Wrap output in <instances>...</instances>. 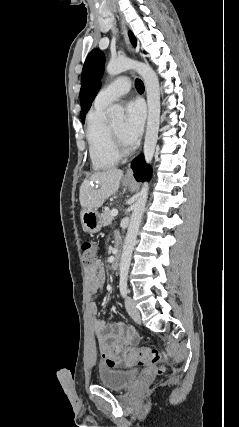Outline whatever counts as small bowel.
Returning a JSON list of instances; mask_svg holds the SVG:
<instances>
[{
    "mask_svg": "<svg viewBox=\"0 0 239 427\" xmlns=\"http://www.w3.org/2000/svg\"><path fill=\"white\" fill-rule=\"evenodd\" d=\"M88 291L96 294L101 289L104 281V272L101 262L97 261L85 268ZM93 317V328L96 334L98 348L104 364L109 368L119 365L120 357L114 352L113 347L131 346L138 343V333L123 322L107 323L97 318L98 308L95 303L90 305Z\"/></svg>",
    "mask_w": 239,
    "mask_h": 427,
    "instance_id": "small-bowel-1",
    "label": "small bowel"
}]
</instances>
